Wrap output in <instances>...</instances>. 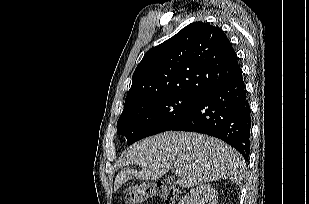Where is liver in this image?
I'll use <instances>...</instances> for the list:
<instances>
[{
	"label": "liver",
	"mask_w": 309,
	"mask_h": 204,
	"mask_svg": "<svg viewBox=\"0 0 309 204\" xmlns=\"http://www.w3.org/2000/svg\"><path fill=\"white\" fill-rule=\"evenodd\" d=\"M129 165H139L141 170ZM120 166L128 168L116 176L114 191L131 179L156 181L169 170L179 173L177 183L184 188L224 178L240 185L246 169L242 155L225 142L178 131L135 143L123 153Z\"/></svg>",
	"instance_id": "6515ba94"
}]
</instances>
